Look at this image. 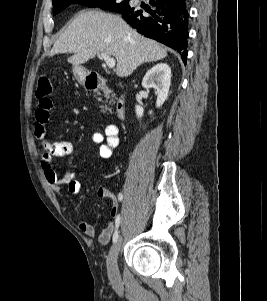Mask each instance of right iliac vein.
I'll return each instance as SVG.
<instances>
[{
    "instance_id": "63e3f726",
    "label": "right iliac vein",
    "mask_w": 267,
    "mask_h": 301,
    "mask_svg": "<svg viewBox=\"0 0 267 301\" xmlns=\"http://www.w3.org/2000/svg\"><path fill=\"white\" fill-rule=\"evenodd\" d=\"M122 238L118 240L111 247L110 252L107 256V271L110 279L114 282H118L120 279V274L117 265V257L121 248Z\"/></svg>"
}]
</instances>
